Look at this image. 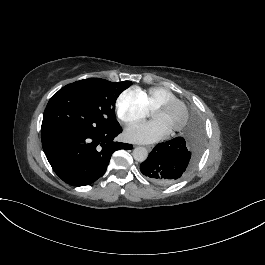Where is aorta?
Returning <instances> with one entry per match:
<instances>
[{
  "mask_svg": "<svg viewBox=\"0 0 265 265\" xmlns=\"http://www.w3.org/2000/svg\"><path fill=\"white\" fill-rule=\"evenodd\" d=\"M133 157L136 161L138 162H143L147 159L148 157V151L144 147H136L133 150Z\"/></svg>",
  "mask_w": 265,
  "mask_h": 265,
  "instance_id": "aorta-1",
  "label": "aorta"
}]
</instances>
